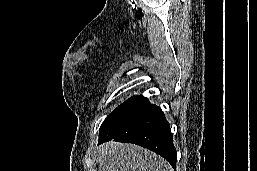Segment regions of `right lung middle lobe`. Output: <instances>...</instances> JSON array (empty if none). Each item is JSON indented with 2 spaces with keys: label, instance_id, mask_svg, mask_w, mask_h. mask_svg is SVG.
<instances>
[{
  "label": "right lung middle lobe",
  "instance_id": "obj_1",
  "mask_svg": "<svg viewBox=\"0 0 257 171\" xmlns=\"http://www.w3.org/2000/svg\"><path fill=\"white\" fill-rule=\"evenodd\" d=\"M139 96H133L127 101H125L123 104L118 106L114 111H112L109 116L104 120L103 124H105L108 120H110L116 113H118L121 109H123L126 105H128L130 102H132L134 99H136ZM102 124V125H103Z\"/></svg>",
  "mask_w": 257,
  "mask_h": 171
}]
</instances>
